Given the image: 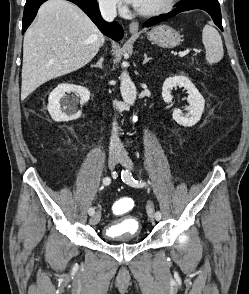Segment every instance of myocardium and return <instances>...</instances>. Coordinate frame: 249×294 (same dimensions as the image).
Returning a JSON list of instances; mask_svg holds the SVG:
<instances>
[{
    "label": "myocardium",
    "mask_w": 249,
    "mask_h": 294,
    "mask_svg": "<svg viewBox=\"0 0 249 294\" xmlns=\"http://www.w3.org/2000/svg\"><path fill=\"white\" fill-rule=\"evenodd\" d=\"M177 1L178 0H169L164 6L156 8V9H152V10H143L135 6V11L138 14L142 16H146V17L158 16L170 11L174 7Z\"/></svg>",
    "instance_id": "obj_1"
}]
</instances>
